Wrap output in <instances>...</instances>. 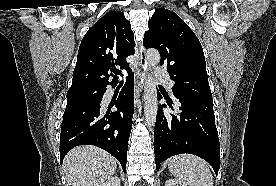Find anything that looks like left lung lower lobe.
Returning a JSON list of instances; mask_svg holds the SVG:
<instances>
[{"instance_id":"0a47b994","label":"left lung lower lobe","mask_w":276,"mask_h":186,"mask_svg":"<svg viewBox=\"0 0 276 186\" xmlns=\"http://www.w3.org/2000/svg\"><path fill=\"white\" fill-rule=\"evenodd\" d=\"M158 93V99H161ZM179 106L167 101L175 113H165L160 107L154 129L156 168L167 158L189 153L206 160L218 174L220 144L215 126L212 98H177Z\"/></svg>"}]
</instances>
